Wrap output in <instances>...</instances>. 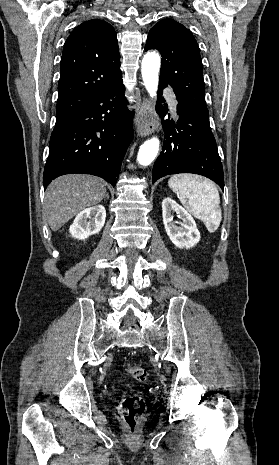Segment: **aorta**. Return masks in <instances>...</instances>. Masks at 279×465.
Returning <instances> with one entry per match:
<instances>
[{"instance_id":"1","label":"aorta","mask_w":279,"mask_h":465,"mask_svg":"<svg viewBox=\"0 0 279 465\" xmlns=\"http://www.w3.org/2000/svg\"><path fill=\"white\" fill-rule=\"evenodd\" d=\"M161 65L160 56L155 52L147 53L142 59L141 72L146 90L151 97L156 96L158 88V75ZM160 141L157 137H152L144 142L140 147L137 160L140 165L148 166L157 156Z\"/></svg>"}]
</instances>
